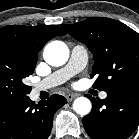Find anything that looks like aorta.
Wrapping results in <instances>:
<instances>
[{"label":"aorta","instance_id":"762f6f07","mask_svg":"<svg viewBox=\"0 0 139 139\" xmlns=\"http://www.w3.org/2000/svg\"><path fill=\"white\" fill-rule=\"evenodd\" d=\"M44 60L51 66H62L69 58V49L61 41H52L44 48ZM92 108L91 101L86 97H78L73 102L74 111L82 116L90 113Z\"/></svg>","mask_w":139,"mask_h":139}]
</instances>
